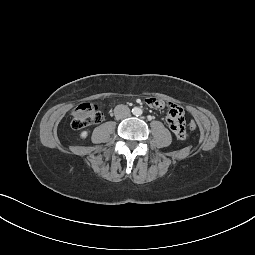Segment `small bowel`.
I'll return each mask as SVG.
<instances>
[{
	"label": "small bowel",
	"mask_w": 255,
	"mask_h": 255,
	"mask_svg": "<svg viewBox=\"0 0 255 255\" xmlns=\"http://www.w3.org/2000/svg\"><path fill=\"white\" fill-rule=\"evenodd\" d=\"M143 102L147 106L164 111L165 126L168 133L176 137L181 142H186L190 138V133L186 126L185 112L172 100L160 99L156 95H147Z\"/></svg>",
	"instance_id": "obj_1"
}]
</instances>
